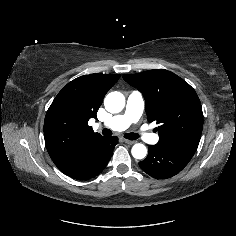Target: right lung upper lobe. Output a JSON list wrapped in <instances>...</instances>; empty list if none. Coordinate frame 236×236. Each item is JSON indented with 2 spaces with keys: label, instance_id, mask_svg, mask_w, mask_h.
Segmentation results:
<instances>
[{
  "label": "right lung upper lobe",
  "instance_id": "1",
  "mask_svg": "<svg viewBox=\"0 0 236 236\" xmlns=\"http://www.w3.org/2000/svg\"><path fill=\"white\" fill-rule=\"evenodd\" d=\"M120 75L80 76L57 94L44 121L47 151L59 170H64L88 150L101 136L88 126L108 90Z\"/></svg>",
  "mask_w": 236,
  "mask_h": 236
}]
</instances>
